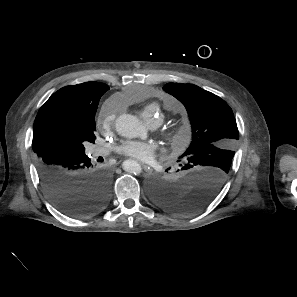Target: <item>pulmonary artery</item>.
I'll return each instance as SVG.
<instances>
[{"instance_id":"e3ab8cb5","label":"pulmonary artery","mask_w":297,"mask_h":297,"mask_svg":"<svg viewBox=\"0 0 297 297\" xmlns=\"http://www.w3.org/2000/svg\"><path fill=\"white\" fill-rule=\"evenodd\" d=\"M150 125H151V126H154V124H150ZM93 151H94V153H96V154H104V153H105L104 150H102V149H100V148H98V147L94 148Z\"/></svg>"}]
</instances>
